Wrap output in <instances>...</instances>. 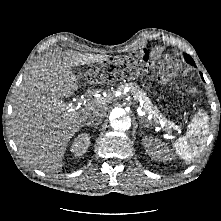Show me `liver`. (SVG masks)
Segmentation results:
<instances>
[{
    "instance_id": "1",
    "label": "liver",
    "mask_w": 221,
    "mask_h": 221,
    "mask_svg": "<svg viewBox=\"0 0 221 221\" xmlns=\"http://www.w3.org/2000/svg\"><path fill=\"white\" fill-rule=\"evenodd\" d=\"M107 58L108 55L51 50L25 74L13 104L11 133L26 163L46 173H58L69 141L91 113L97 110L105 116L104 100L77 108L63 99L78 89L73 68Z\"/></svg>"
}]
</instances>
